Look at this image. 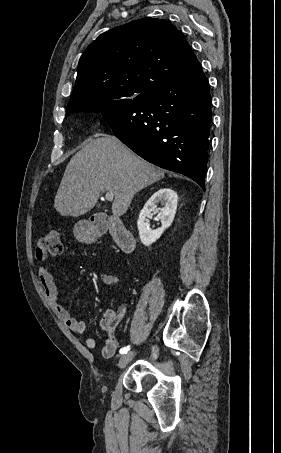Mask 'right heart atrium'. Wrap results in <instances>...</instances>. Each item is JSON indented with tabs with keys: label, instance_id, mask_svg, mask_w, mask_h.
Listing matches in <instances>:
<instances>
[{
	"label": "right heart atrium",
	"instance_id": "right-heart-atrium-1",
	"mask_svg": "<svg viewBox=\"0 0 281 453\" xmlns=\"http://www.w3.org/2000/svg\"><path fill=\"white\" fill-rule=\"evenodd\" d=\"M102 117L100 115H94L90 120V127L92 131L97 132L102 126Z\"/></svg>",
	"mask_w": 281,
	"mask_h": 453
}]
</instances>
